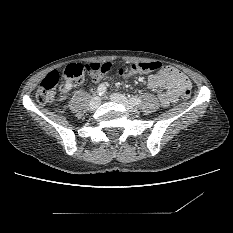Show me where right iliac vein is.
Masks as SVG:
<instances>
[{
  "label": "right iliac vein",
  "mask_w": 233,
  "mask_h": 233,
  "mask_svg": "<svg viewBox=\"0 0 233 233\" xmlns=\"http://www.w3.org/2000/svg\"><path fill=\"white\" fill-rule=\"evenodd\" d=\"M100 103H101L100 97L96 96V97L92 98V100L90 101V105H89L90 109L91 110L97 109L99 107Z\"/></svg>",
  "instance_id": "63e3f726"
}]
</instances>
